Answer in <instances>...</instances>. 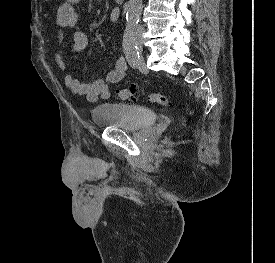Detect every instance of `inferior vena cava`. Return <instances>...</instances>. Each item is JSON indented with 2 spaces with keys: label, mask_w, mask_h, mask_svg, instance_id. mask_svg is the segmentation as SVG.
<instances>
[{
  "label": "inferior vena cava",
  "mask_w": 275,
  "mask_h": 263,
  "mask_svg": "<svg viewBox=\"0 0 275 263\" xmlns=\"http://www.w3.org/2000/svg\"><path fill=\"white\" fill-rule=\"evenodd\" d=\"M143 26H141V25H137L136 26V28H135V30L137 31V32H142L143 31Z\"/></svg>",
  "instance_id": "obj_1"
}]
</instances>
